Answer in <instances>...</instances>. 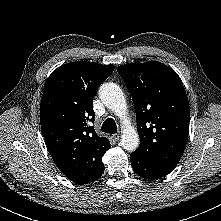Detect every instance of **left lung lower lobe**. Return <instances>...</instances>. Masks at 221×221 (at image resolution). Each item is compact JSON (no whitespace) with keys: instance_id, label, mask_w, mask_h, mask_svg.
Wrapping results in <instances>:
<instances>
[{"instance_id":"0a47b994","label":"left lung lower lobe","mask_w":221,"mask_h":221,"mask_svg":"<svg viewBox=\"0 0 221 221\" xmlns=\"http://www.w3.org/2000/svg\"><path fill=\"white\" fill-rule=\"evenodd\" d=\"M130 161L139 176L151 180L166 176L176 167L175 164L154 162L135 153L130 155Z\"/></svg>"}]
</instances>
